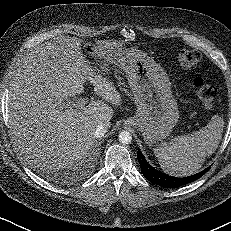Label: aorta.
Returning <instances> with one entry per match:
<instances>
[{"label": "aorta", "mask_w": 231, "mask_h": 231, "mask_svg": "<svg viewBox=\"0 0 231 231\" xmlns=\"http://www.w3.org/2000/svg\"><path fill=\"white\" fill-rule=\"evenodd\" d=\"M118 137L122 144H129L132 141V135L128 131H121Z\"/></svg>", "instance_id": "obj_1"}]
</instances>
